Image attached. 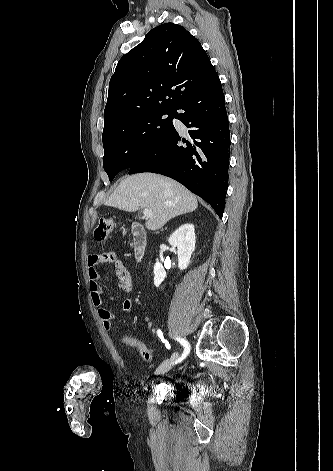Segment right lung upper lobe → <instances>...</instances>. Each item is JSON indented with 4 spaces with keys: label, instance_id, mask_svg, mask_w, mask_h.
Returning <instances> with one entry per match:
<instances>
[{
    "label": "right lung upper lobe",
    "instance_id": "right-lung-upper-lobe-1",
    "mask_svg": "<svg viewBox=\"0 0 333 471\" xmlns=\"http://www.w3.org/2000/svg\"><path fill=\"white\" fill-rule=\"evenodd\" d=\"M216 75L200 42L184 27L157 26L119 60L109 83L104 130L139 112H174Z\"/></svg>",
    "mask_w": 333,
    "mask_h": 471
}]
</instances>
